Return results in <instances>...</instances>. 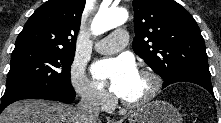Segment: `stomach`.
Segmentation results:
<instances>
[{
	"mask_svg": "<svg viewBox=\"0 0 221 123\" xmlns=\"http://www.w3.org/2000/svg\"><path fill=\"white\" fill-rule=\"evenodd\" d=\"M129 123H182V117L168 102L156 100L135 110Z\"/></svg>",
	"mask_w": 221,
	"mask_h": 123,
	"instance_id": "obj_1",
	"label": "stomach"
}]
</instances>
